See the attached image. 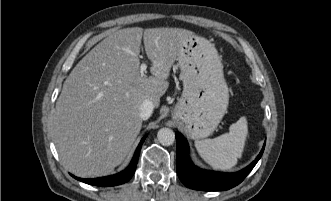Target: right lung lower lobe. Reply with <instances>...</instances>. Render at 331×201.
Returning <instances> with one entry per match:
<instances>
[{"mask_svg": "<svg viewBox=\"0 0 331 201\" xmlns=\"http://www.w3.org/2000/svg\"><path fill=\"white\" fill-rule=\"evenodd\" d=\"M146 136L142 138L140 144L138 145L136 152L134 154V157L130 163V165L122 172L112 175V176H106V177H101V178H94V179H82L73 176L79 181H82L84 183L90 184V185H96V186H116L123 184L130 180V178L133 176L136 170L138 158H139V153L141 150V146L145 140Z\"/></svg>", "mask_w": 331, "mask_h": 201, "instance_id": "obj_1", "label": "right lung lower lobe"}]
</instances>
